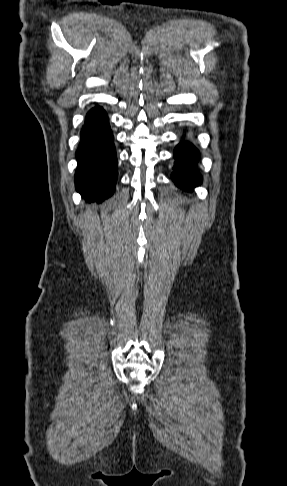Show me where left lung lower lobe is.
<instances>
[{
  "mask_svg": "<svg viewBox=\"0 0 287 486\" xmlns=\"http://www.w3.org/2000/svg\"><path fill=\"white\" fill-rule=\"evenodd\" d=\"M174 158L172 179L175 184L184 190L199 185L202 179L197 170L198 150L189 142H180L174 150Z\"/></svg>",
  "mask_w": 287,
  "mask_h": 486,
  "instance_id": "obj_1",
  "label": "left lung lower lobe"
}]
</instances>
